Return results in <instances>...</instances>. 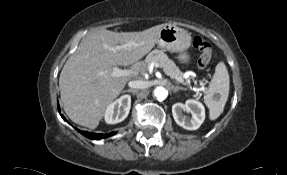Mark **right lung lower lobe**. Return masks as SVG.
<instances>
[{
  "label": "right lung lower lobe",
  "mask_w": 287,
  "mask_h": 175,
  "mask_svg": "<svg viewBox=\"0 0 287 175\" xmlns=\"http://www.w3.org/2000/svg\"><path fill=\"white\" fill-rule=\"evenodd\" d=\"M58 110L60 111L59 105H58ZM61 116H62V118H63L64 120H66L63 115H61ZM78 131H79L82 135H84L85 137H87V138H89V139H91V140H99V139L106 138V137H108V136H112V135L115 134V132H111V133H109V134L103 135V134L91 133V132H87V131H80V130H78Z\"/></svg>",
  "instance_id": "obj_1"
}]
</instances>
